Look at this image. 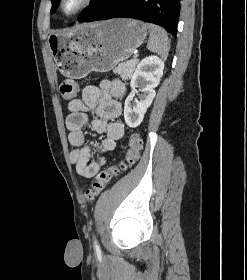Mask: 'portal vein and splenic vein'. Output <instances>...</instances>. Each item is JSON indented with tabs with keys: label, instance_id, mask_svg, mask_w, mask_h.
I'll return each mask as SVG.
<instances>
[{
	"label": "portal vein and splenic vein",
	"instance_id": "portal-vein-and-splenic-vein-1",
	"mask_svg": "<svg viewBox=\"0 0 247 280\" xmlns=\"http://www.w3.org/2000/svg\"><path fill=\"white\" fill-rule=\"evenodd\" d=\"M133 57H134V58H137V57H138V54H137V53H135Z\"/></svg>",
	"mask_w": 247,
	"mask_h": 280
}]
</instances>
